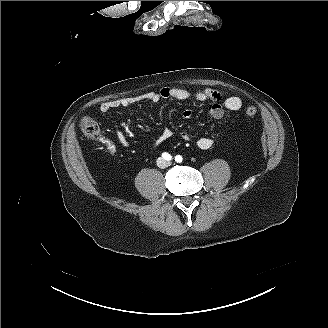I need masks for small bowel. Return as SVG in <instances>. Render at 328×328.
Listing matches in <instances>:
<instances>
[{"label": "small bowel", "instance_id": "c3829d8e", "mask_svg": "<svg viewBox=\"0 0 328 328\" xmlns=\"http://www.w3.org/2000/svg\"><path fill=\"white\" fill-rule=\"evenodd\" d=\"M162 99H175L179 101L183 100H196L201 102H211L209 107V115L213 119H221L225 111H237L242 107V100L237 96L224 97L223 94L213 89H197L188 90L180 87H162L157 91H149L137 96L122 97L114 100L102 102L99 109L102 113H106L112 109L127 108L136 103L148 101L158 102ZM193 111L191 109H185L181 116L187 120L192 117ZM173 135V132L169 128H163L159 136L153 141L152 147H158ZM117 140L124 146L129 145L127 136L122 131H117ZM181 138L184 141H190L191 135L187 131L181 133ZM100 142L106 148V150L114 155L117 151L115 143L107 137H101ZM197 146L202 150H207L213 145V140L210 137L202 136L198 138L196 142Z\"/></svg>", "mask_w": 328, "mask_h": 328}]
</instances>
